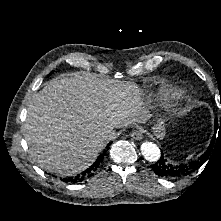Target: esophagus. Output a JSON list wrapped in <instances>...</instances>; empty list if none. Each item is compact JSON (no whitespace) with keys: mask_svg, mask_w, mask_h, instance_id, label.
Listing matches in <instances>:
<instances>
[{"mask_svg":"<svg viewBox=\"0 0 221 221\" xmlns=\"http://www.w3.org/2000/svg\"><path fill=\"white\" fill-rule=\"evenodd\" d=\"M131 137L135 140H142L143 139V133L140 129H136V130L132 131Z\"/></svg>","mask_w":221,"mask_h":221,"instance_id":"esophagus-1","label":"esophagus"}]
</instances>
